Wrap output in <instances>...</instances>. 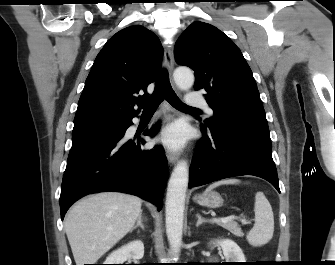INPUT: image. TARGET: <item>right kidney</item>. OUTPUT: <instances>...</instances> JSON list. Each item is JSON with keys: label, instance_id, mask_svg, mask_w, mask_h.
Here are the masks:
<instances>
[{"label": "right kidney", "instance_id": "right-kidney-1", "mask_svg": "<svg viewBox=\"0 0 335 265\" xmlns=\"http://www.w3.org/2000/svg\"><path fill=\"white\" fill-rule=\"evenodd\" d=\"M144 256V244L141 240H134L113 251L104 264H123L128 258L139 260Z\"/></svg>", "mask_w": 335, "mask_h": 265}]
</instances>
